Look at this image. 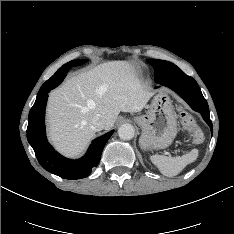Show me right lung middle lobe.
I'll use <instances>...</instances> for the list:
<instances>
[{"label":"right lung middle lobe","instance_id":"1","mask_svg":"<svg viewBox=\"0 0 234 234\" xmlns=\"http://www.w3.org/2000/svg\"><path fill=\"white\" fill-rule=\"evenodd\" d=\"M85 62H87L86 59L72 60V61L68 62L67 64H65V66H70V67H72V66H79V65H82Z\"/></svg>","mask_w":234,"mask_h":234}]
</instances>
